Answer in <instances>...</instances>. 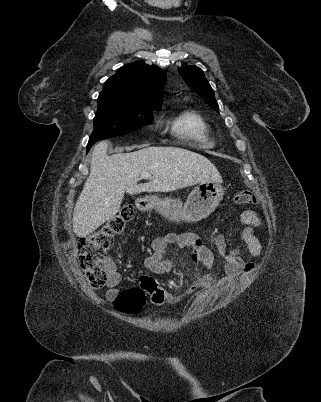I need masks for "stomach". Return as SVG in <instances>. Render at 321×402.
Here are the masks:
<instances>
[{"instance_id": "1", "label": "stomach", "mask_w": 321, "mask_h": 402, "mask_svg": "<svg viewBox=\"0 0 321 402\" xmlns=\"http://www.w3.org/2000/svg\"><path fill=\"white\" fill-rule=\"evenodd\" d=\"M223 195L220 181H208L195 187L184 204L171 197L160 199L157 196H151L148 204L169 221L198 222L216 209Z\"/></svg>"}]
</instances>
